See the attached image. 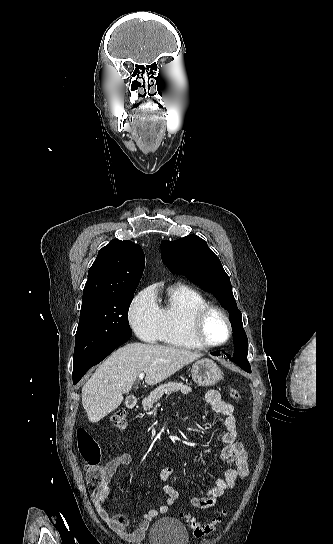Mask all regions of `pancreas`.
Here are the masks:
<instances>
[{
    "instance_id": "cf45deb5",
    "label": "pancreas",
    "mask_w": 333,
    "mask_h": 544,
    "mask_svg": "<svg viewBox=\"0 0 333 544\" xmlns=\"http://www.w3.org/2000/svg\"><path fill=\"white\" fill-rule=\"evenodd\" d=\"M180 391L183 394H188L192 391L191 387L184 385L181 382H168L157 387L150 393L149 396L142 401L143 409L150 410L155 402H157L164 394L170 395L172 392Z\"/></svg>"
}]
</instances>
